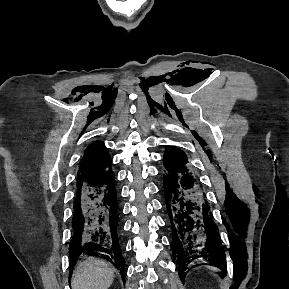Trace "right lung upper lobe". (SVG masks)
<instances>
[{
  "label": "right lung upper lobe",
  "instance_id": "1",
  "mask_svg": "<svg viewBox=\"0 0 289 289\" xmlns=\"http://www.w3.org/2000/svg\"><path fill=\"white\" fill-rule=\"evenodd\" d=\"M111 158L107 148L100 142L90 144L81 160L77 183L91 180L111 169Z\"/></svg>",
  "mask_w": 289,
  "mask_h": 289
}]
</instances>
